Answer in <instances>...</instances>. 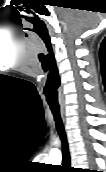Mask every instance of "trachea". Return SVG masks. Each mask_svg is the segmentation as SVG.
Returning a JSON list of instances; mask_svg holds the SVG:
<instances>
[{"instance_id":"3493384b","label":"trachea","mask_w":106,"mask_h":172,"mask_svg":"<svg viewBox=\"0 0 106 172\" xmlns=\"http://www.w3.org/2000/svg\"><path fill=\"white\" fill-rule=\"evenodd\" d=\"M52 114L54 116L55 122H56V128L58 131V134L61 138L62 141V161L65 166L70 165V155H69V150H68V145H67V140H66V134L64 131V126L60 117V111L59 108H54L51 107Z\"/></svg>"}]
</instances>
